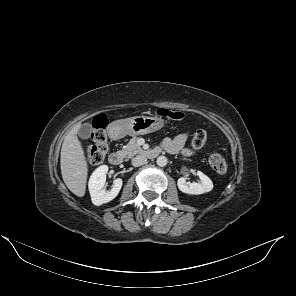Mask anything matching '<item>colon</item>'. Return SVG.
<instances>
[{"mask_svg": "<svg viewBox=\"0 0 296 296\" xmlns=\"http://www.w3.org/2000/svg\"><path fill=\"white\" fill-rule=\"evenodd\" d=\"M157 114L161 117H166L173 120H181L184 114L180 111L161 108L157 110ZM108 120L104 115L97 116L92 123V140L93 144L85 149L87 161L92 165L101 163L108 152V142L105 133ZM207 141V133L204 129H197L191 141V147L194 150L201 149ZM208 161L211 167L218 174H225L227 164L223 156L218 153H211L208 156Z\"/></svg>", "mask_w": 296, "mask_h": 296, "instance_id": "1", "label": "colon"}]
</instances>
